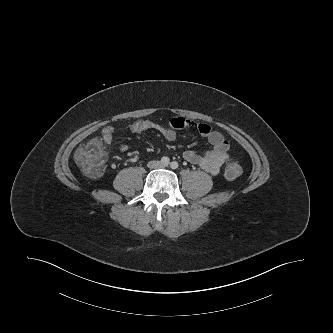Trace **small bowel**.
I'll return each mask as SVG.
<instances>
[{"label":"small bowel","instance_id":"c3829d8e","mask_svg":"<svg viewBox=\"0 0 333 333\" xmlns=\"http://www.w3.org/2000/svg\"><path fill=\"white\" fill-rule=\"evenodd\" d=\"M183 128L196 130L200 135L206 137L212 146L210 150L202 153H197L193 150H186L183 153L184 159L192 164L200 166L203 170L212 175L217 174L221 166L229 158V143L220 132L212 130L206 124L177 117L171 119L167 126L148 120L136 121L130 124L126 130L136 134H143L146 131L154 130L161 133L168 141H174L177 137V131ZM115 132L116 129L112 126L103 128V140L106 143H111ZM119 148L123 152H126L128 149L124 144H121Z\"/></svg>","mask_w":333,"mask_h":333}]
</instances>
